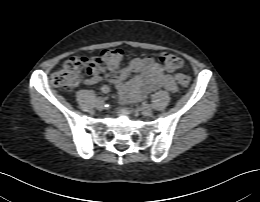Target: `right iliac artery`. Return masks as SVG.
Listing matches in <instances>:
<instances>
[{
    "mask_svg": "<svg viewBox=\"0 0 260 202\" xmlns=\"http://www.w3.org/2000/svg\"><path fill=\"white\" fill-rule=\"evenodd\" d=\"M97 100L101 101V100H103V97H98Z\"/></svg>",
    "mask_w": 260,
    "mask_h": 202,
    "instance_id": "right-iliac-artery-1",
    "label": "right iliac artery"
}]
</instances>
